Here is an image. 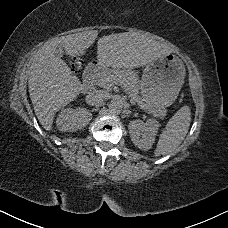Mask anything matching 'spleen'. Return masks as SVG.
Returning <instances> with one entry per match:
<instances>
[{"label":"spleen","mask_w":228,"mask_h":228,"mask_svg":"<svg viewBox=\"0 0 228 228\" xmlns=\"http://www.w3.org/2000/svg\"><path fill=\"white\" fill-rule=\"evenodd\" d=\"M191 121L189 106L181 107L168 121L165 129L160 134L154 155H175L178 147L188 133Z\"/></svg>","instance_id":"1"}]
</instances>
